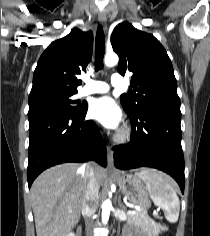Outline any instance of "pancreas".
<instances>
[{
    "label": "pancreas",
    "mask_w": 210,
    "mask_h": 236,
    "mask_svg": "<svg viewBox=\"0 0 210 236\" xmlns=\"http://www.w3.org/2000/svg\"><path fill=\"white\" fill-rule=\"evenodd\" d=\"M128 222L131 225L144 229L150 236H157L160 231L155 221L148 217L144 211H136V214L130 215Z\"/></svg>",
    "instance_id": "cf45deb5"
}]
</instances>
